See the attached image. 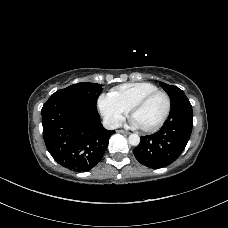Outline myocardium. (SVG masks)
I'll use <instances>...</instances> for the list:
<instances>
[{
  "instance_id": "obj_1",
  "label": "myocardium",
  "mask_w": 228,
  "mask_h": 228,
  "mask_svg": "<svg viewBox=\"0 0 228 228\" xmlns=\"http://www.w3.org/2000/svg\"><path fill=\"white\" fill-rule=\"evenodd\" d=\"M158 94L163 95L165 97V99H166L165 112H164L163 116L161 117V119L156 124H154L153 126L145 127V128L140 127V129L142 131H144V132L150 133V132L157 131L158 129H160L164 125V123L168 119L169 114L171 112V107H172V101H171V98H170L169 94L166 91H164V90H155V91L149 92L146 95H144L143 97H141L140 99H138L135 103H133L132 106L129 109V113L132 116L133 113L135 112V110H137L138 108L142 107L152 97H154L155 95H158Z\"/></svg>"
}]
</instances>
